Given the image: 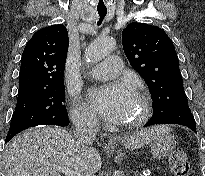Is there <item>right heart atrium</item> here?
I'll list each match as a JSON object with an SVG mask.
<instances>
[{"label": "right heart atrium", "mask_w": 205, "mask_h": 176, "mask_svg": "<svg viewBox=\"0 0 205 176\" xmlns=\"http://www.w3.org/2000/svg\"><path fill=\"white\" fill-rule=\"evenodd\" d=\"M71 115L78 126L95 128L98 124V120L94 112L89 107L82 104L78 99H74L73 101Z\"/></svg>", "instance_id": "d8ad5b80"}]
</instances>
